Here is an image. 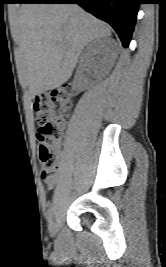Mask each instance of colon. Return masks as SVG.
<instances>
[{"mask_svg":"<svg viewBox=\"0 0 166 267\" xmlns=\"http://www.w3.org/2000/svg\"><path fill=\"white\" fill-rule=\"evenodd\" d=\"M70 85H62L37 97L33 103L38 124L39 159L45 182L54 179L59 168L58 146L63 137L64 119L73 105Z\"/></svg>","mask_w":166,"mask_h":267,"instance_id":"5ec220e1","label":"colon"}]
</instances>
